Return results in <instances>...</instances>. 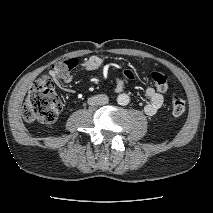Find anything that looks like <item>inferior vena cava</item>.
<instances>
[{
    "instance_id": "602c4592",
    "label": "inferior vena cava",
    "mask_w": 213,
    "mask_h": 213,
    "mask_svg": "<svg viewBox=\"0 0 213 213\" xmlns=\"http://www.w3.org/2000/svg\"><path fill=\"white\" fill-rule=\"evenodd\" d=\"M109 101V98L107 95L105 94H99V95H95L93 97H90L88 99V104L89 105H105L107 104Z\"/></svg>"
}]
</instances>
